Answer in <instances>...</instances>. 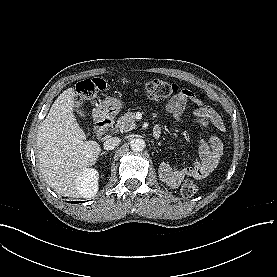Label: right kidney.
Returning <instances> with one entry per match:
<instances>
[{"label":"right kidney","instance_id":"1","mask_svg":"<svg viewBox=\"0 0 277 277\" xmlns=\"http://www.w3.org/2000/svg\"><path fill=\"white\" fill-rule=\"evenodd\" d=\"M99 173L94 168H86L76 179L79 191L84 197L94 196L98 191Z\"/></svg>","mask_w":277,"mask_h":277}]
</instances>
